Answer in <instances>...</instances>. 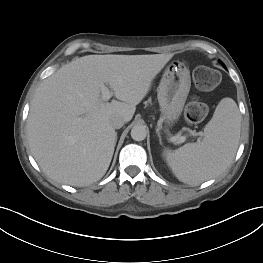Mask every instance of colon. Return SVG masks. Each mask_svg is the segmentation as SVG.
<instances>
[{
	"mask_svg": "<svg viewBox=\"0 0 263 263\" xmlns=\"http://www.w3.org/2000/svg\"><path fill=\"white\" fill-rule=\"evenodd\" d=\"M194 83L198 90L207 92L213 90L220 83V74L217 70L199 66L193 73ZM208 114V107L198 99L191 100L185 108V119L189 124L202 122Z\"/></svg>",
	"mask_w": 263,
	"mask_h": 263,
	"instance_id": "obj_1",
	"label": "colon"
}]
</instances>
